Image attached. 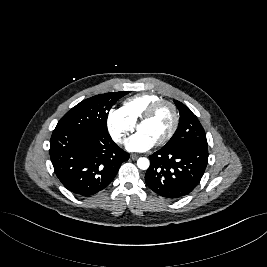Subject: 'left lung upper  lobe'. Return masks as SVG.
I'll return each instance as SVG.
<instances>
[{
	"label": "left lung upper lobe",
	"instance_id": "left-lung-upper-lobe-1",
	"mask_svg": "<svg viewBox=\"0 0 267 267\" xmlns=\"http://www.w3.org/2000/svg\"><path fill=\"white\" fill-rule=\"evenodd\" d=\"M180 113L178 128L162 148H175L186 145L208 147L205 131L193 112L183 103L174 100Z\"/></svg>",
	"mask_w": 267,
	"mask_h": 267
}]
</instances>
